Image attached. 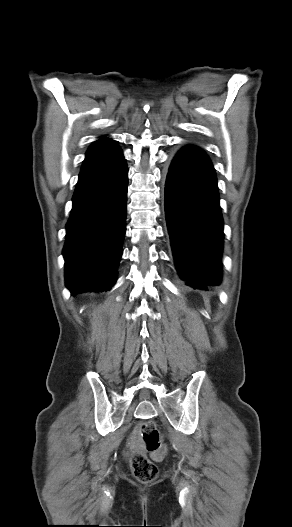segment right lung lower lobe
I'll return each mask as SVG.
<instances>
[{"label": "right lung lower lobe", "instance_id": "right-lung-lower-lobe-1", "mask_svg": "<svg viewBox=\"0 0 292 527\" xmlns=\"http://www.w3.org/2000/svg\"><path fill=\"white\" fill-rule=\"evenodd\" d=\"M128 169L113 140L86 153L66 225V286L72 295L107 291L116 281L126 232Z\"/></svg>", "mask_w": 292, "mask_h": 527}]
</instances>
